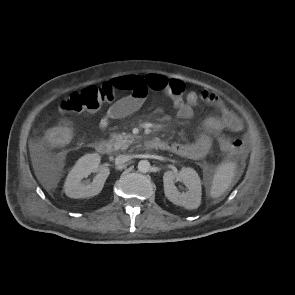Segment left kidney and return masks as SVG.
<instances>
[{"label":"left kidney","mask_w":295,"mask_h":295,"mask_svg":"<svg viewBox=\"0 0 295 295\" xmlns=\"http://www.w3.org/2000/svg\"><path fill=\"white\" fill-rule=\"evenodd\" d=\"M175 181H182L187 187L186 192H179ZM164 193L173 204L186 209H196L201 204V180L197 172L183 167L179 172L166 171L163 175Z\"/></svg>","instance_id":"1"}]
</instances>
